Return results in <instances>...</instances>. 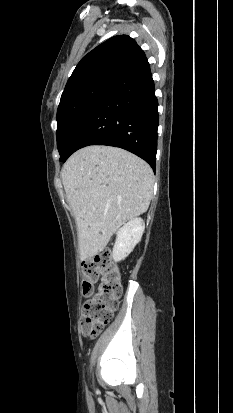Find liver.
<instances>
[{"label": "liver", "mask_w": 233, "mask_h": 413, "mask_svg": "<svg viewBox=\"0 0 233 413\" xmlns=\"http://www.w3.org/2000/svg\"><path fill=\"white\" fill-rule=\"evenodd\" d=\"M61 177L78 227L81 260L101 252L126 221L147 211L153 171L121 148L88 146L64 164Z\"/></svg>", "instance_id": "obj_1"}]
</instances>
